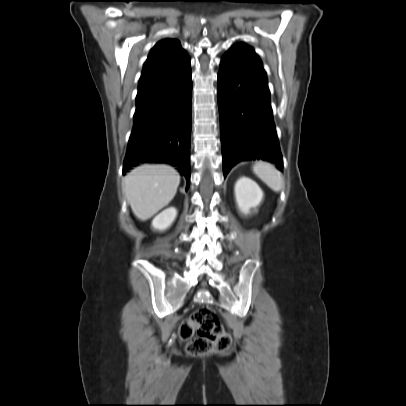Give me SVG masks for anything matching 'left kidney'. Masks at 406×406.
<instances>
[{
    "instance_id": "5707ae66",
    "label": "left kidney",
    "mask_w": 406,
    "mask_h": 406,
    "mask_svg": "<svg viewBox=\"0 0 406 406\" xmlns=\"http://www.w3.org/2000/svg\"><path fill=\"white\" fill-rule=\"evenodd\" d=\"M234 193L238 209L245 215L250 214L252 208L259 206L264 196L259 185L247 177H241L237 180Z\"/></svg>"
}]
</instances>
